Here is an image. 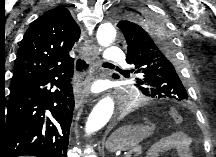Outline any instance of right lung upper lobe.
Masks as SVG:
<instances>
[{"instance_id": "1", "label": "right lung upper lobe", "mask_w": 216, "mask_h": 157, "mask_svg": "<svg viewBox=\"0 0 216 157\" xmlns=\"http://www.w3.org/2000/svg\"><path fill=\"white\" fill-rule=\"evenodd\" d=\"M79 37V26L67 8L59 6L40 16L21 41L10 89L56 66L74 62L69 51Z\"/></svg>"}]
</instances>
